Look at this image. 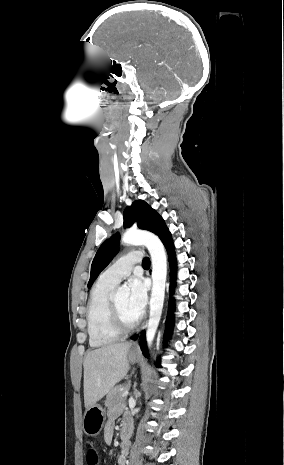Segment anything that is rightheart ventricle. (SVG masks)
Here are the masks:
<instances>
[{
	"instance_id": "right-heart-ventricle-1",
	"label": "right heart ventricle",
	"mask_w": 284,
	"mask_h": 465,
	"mask_svg": "<svg viewBox=\"0 0 284 465\" xmlns=\"http://www.w3.org/2000/svg\"><path fill=\"white\" fill-rule=\"evenodd\" d=\"M99 279L92 287L86 306V324L90 346H110L118 340L108 326L110 291L114 287Z\"/></svg>"
}]
</instances>
